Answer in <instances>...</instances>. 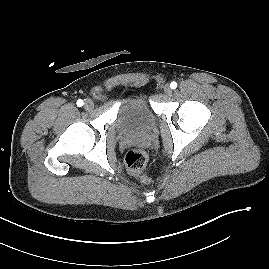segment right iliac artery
Returning a JSON list of instances; mask_svg holds the SVG:
<instances>
[{
  "instance_id": "1",
  "label": "right iliac artery",
  "mask_w": 269,
  "mask_h": 269,
  "mask_svg": "<svg viewBox=\"0 0 269 269\" xmlns=\"http://www.w3.org/2000/svg\"><path fill=\"white\" fill-rule=\"evenodd\" d=\"M83 104H84L83 100L79 99L77 101V106L81 107V106H83Z\"/></svg>"
}]
</instances>
